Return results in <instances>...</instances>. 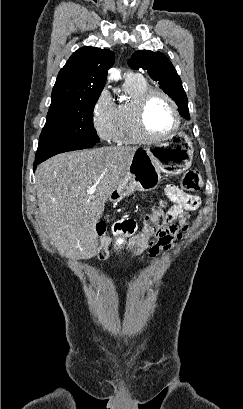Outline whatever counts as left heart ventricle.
Segmentation results:
<instances>
[{"label":"left heart ventricle","mask_w":243,"mask_h":409,"mask_svg":"<svg viewBox=\"0 0 243 409\" xmlns=\"http://www.w3.org/2000/svg\"><path fill=\"white\" fill-rule=\"evenodd\" d=\"M175 120L169 103L160 95H154L147 103L145 124L154 135L167 133L174 126Z\"/></svg>","instance_id":"obj_1"}]
</instances>
